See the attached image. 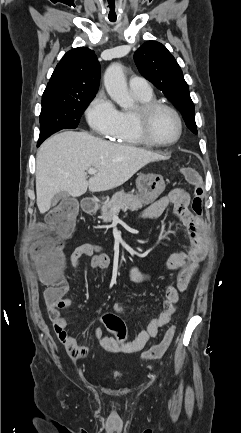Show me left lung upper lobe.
Masks as SVG:
<instances>
[{
  "label": "left lung upper lobe",
  "mask_w": 241,
  "mask_h": 433,
  "mask_svg": "<svg viewBox=\"0 0 241 433\" xmlns=\"http://www.w3.org/2000/svg\"><path fill=\"white\" fill-rule=\"evenodd\" d=\"M139 72L179 109L187 127L197 134L195 109L189 87L173 55L156 41H147L134 54Z\"/></svg>",
  "instance_id": "left-lung-upper-lobe-1"
}]
</instances>
